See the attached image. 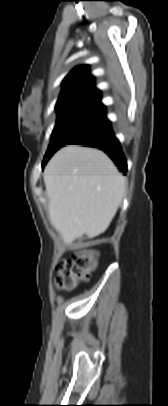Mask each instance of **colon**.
<instances>
[{"label":"colon","instance_id":"1","mask_svg":"<svg viewBox=\"0 0 168 406\" xmlns=\"http://www.w3.org/2000/svg\"><path fill=\"white\" fill-rule=\"evenodd\" d=\"M75 245L72 257L62 260L57 267L54 281L57 289L72 290L80 283L87 282L96 267L98 253L83 247L79 240Z\"/></svg>","mask_w":168,"mask_h":406}]
</instances>
